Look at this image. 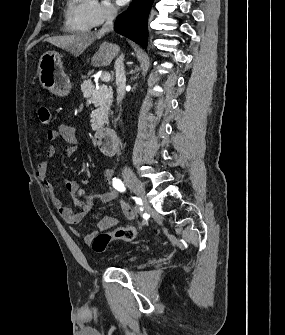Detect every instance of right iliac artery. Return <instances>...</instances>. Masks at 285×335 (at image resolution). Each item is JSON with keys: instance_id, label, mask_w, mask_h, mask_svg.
Segmentation results:
<instances>
[{"instance_id": "obj_1", "label": "right iliac artery", "mask_w": 285, "mask_h": 335, "mask_svg": "<svg viewBox=\"0 0 285 335\" xmlns=\"http://www.w3.org/2000/svg\"><path fill=\"white\" fill-rule=\"evenodd\" d=\"M113 187L120 191V192H123L125 191V186L123 184V182L120 180V179H117V178H113Z\"/></svg>"}]
</instances>
